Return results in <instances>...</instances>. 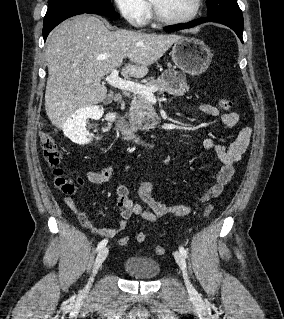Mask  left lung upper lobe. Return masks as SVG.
Instances as JSON below:
<instances>
[{
	"label": "left lung upper lobe",
	"instance_id": "left-lung-upper-lobe-1",
	"mask_svg": "<svg viewBox=\"0 0 284 319\" xmlns=\"http://www.w3.org/2000/svg\"><path fill=\"white\" fill-rule=\"evenodd\" d=\"M208 16L233 15L243 17L236 0H207Z\"/></svg>",
	"mask_w": 284,
	"mask_h": 319
}]
</instances>
